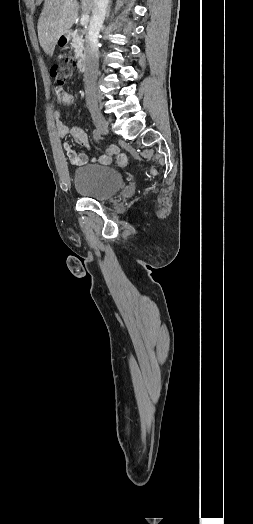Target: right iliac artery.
I'll return each instance as SVG.
<instances>
[{"instance_id": "82829eb1", "label": "right iliac artery", "mask_w": 253, "mask_h": 524, "mask_svg": "<svg viewBox=\"0 0 253 524\" xmlns=\"http://www.w3.org/2000/svg\"><path fill=\"white\" fill-rule=\"evenodd\" d=\"M101 135L100 132L97 129L93 130V138L95 141H98L100 139Z\"/></svg>"}]
</instances>
